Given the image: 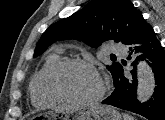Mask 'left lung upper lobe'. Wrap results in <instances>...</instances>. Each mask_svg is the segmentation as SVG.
<instances>
[{
  "mask_svg": "<svg viewBox=\"0 0 165 120\" xmlns=\"http://www.w3.org/2000/svg\"><path fill=\"white\" fill-rule=\"evenodd\" d=\"M142 18L141 12L129 0H93L70 17L48 27L36 46L34 57L57 40L78 39L91 47H98L108 40L125 44ZM120 66V63L106 66L114 86Z\"/></svg>",
  "mask_w": 165,
  "mask_h": 120,
  "instance_id": "5c2ea615",
  "label": "left lung upper lobe"
}]
</instances>
